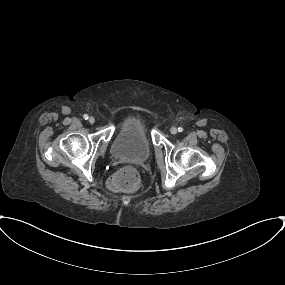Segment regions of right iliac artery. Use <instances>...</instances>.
<instances>
[{
	"label": "right iliac artery",
	"instance_id": "1",
	"mask_svg": "<svg viewBox=\"0 0 285 285\" xmlns=\"http://www.w3.org/2000/svg\"><path fill=\"white\" fill-rule=\"evenodd\" d=\"M83 118H84L85 120H87V119L89 118V116H88L87 114H84V115H83Z\"/></svg>",
	"mask_w": 285,
	"mask_h": 285
}]
</instances>
